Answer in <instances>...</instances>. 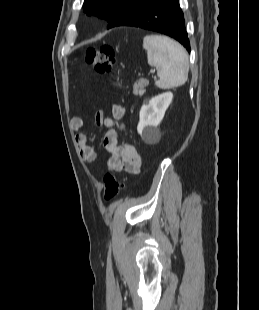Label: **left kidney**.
I'll use <instances>...</instances> for the list:
<instances>
[{
	"mask_svg": "<svg viewBox=\"0 0 259 310\" xmlns=\"http://www.w3.org/2000/svg\"><path fill=\"white\" fill-rule=\"evenodd\" d=\"M172 98L171 92H165L153 97L148 104L141 107L137 131L145 141H149L150 134L161 123Z\"/></svg>",
	"mask_w": 259,
	"mask_h": 310,
	"instance_id": "5707ae66",
	"label": "left kidney"
}]
</instances>
